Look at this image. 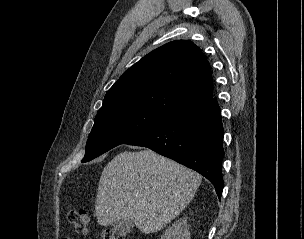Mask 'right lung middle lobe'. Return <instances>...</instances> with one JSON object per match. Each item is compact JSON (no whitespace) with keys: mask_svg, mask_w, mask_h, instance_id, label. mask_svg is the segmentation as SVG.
I'll return each instance as SVG.
<instances>
[{"mask_svg":"<svg viewBox=\"0 0 304 239\" xmlns=\"http://www.w3.org/2000/svg\"><path fill=\"white\" fill-rule=\"evenodd\" d=\"M170 117L142 108L117 109L98 114L86 144L82 162L152 130Z\"/></svg>","mask_w":304,"mask_h":239,"instance_id":"obj_1","label":"right lung middle lobe"}]
</instances>
